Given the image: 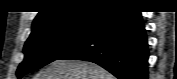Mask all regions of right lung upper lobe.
<instances>
[{
    "label": "right lung upper lobe",
    "instance_id": "right-lung-upper-lobe-1",
    "mask_svg": "<svg viewBox=\"0 0 177 79\" xmlns=\"http://www.w3.org/2000/svg\"><path fill=\"white\" fill-rule=\"evenodd\" d=\"M47 3L44 10L34 19L32 29L56 21L70 20L94 13L103 14L108 9L128 5L125 0H53Z\"/></svg>",
    "mask_w": 177,
    "mask_h": 79
}]
</instances>
